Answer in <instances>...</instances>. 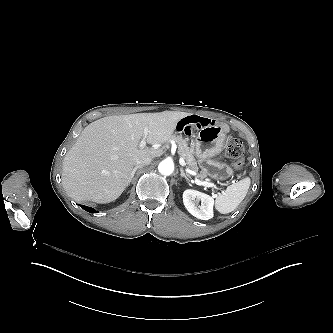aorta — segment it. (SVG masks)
Here are the masks:
<instances>
[{
	"label": "aorta",
	"instance_id": "obj_1",
	"mask_svg": "<svg viewBox=\"0 0 333 333\" xmlns=\"http://www.w3.org/2000/svg\"><path fill=\"white\" fill-rule=\"evenodd\" d=\"M158 170L160 174L170 176L174 172V163L170 159H165L159 164Z\"/></svg>",
	"mask_w": 333,
	"mask_h": 333
}]
</instances>
